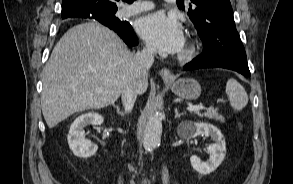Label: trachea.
I'll return each instance as SVG.
<instances>
[{
  "label": "trachea",
  "instance_id": "1",
  "mask_svg": "<svg viewBox=\"0 0 293 184\" xmlns=\"http://www.w3.org/2000/svg\"><path fill=\"white\" fill-rule=\"evenodd\" d=\"M123 1H125L127 3H133L135 0H123Z\"/></svg>",
  "mask_w": 293,
  "mask_h": 184
}]
</instances>
